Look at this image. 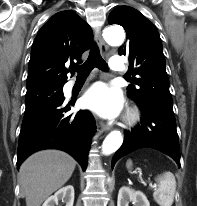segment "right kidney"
Segmentation results:
<instances>
[{
	"instance_id": "obj_1",
	"label": "right kidney",
	"mask_w": 197,
	"mask_h": 206,
	"mask_svg": "<svg viewBox=\"0 0 197 206\" xmlns=\"http://www.w3.org/2000/svg\"><path fill=\"white\" fill-rule=\"evenodd\" d=\"M59 200H62L66 204L65 206H73L74 187L72 185H67L59 189L54 195L50 196L42 206L58 205Z\"/></svg>"
}]
</instances>
